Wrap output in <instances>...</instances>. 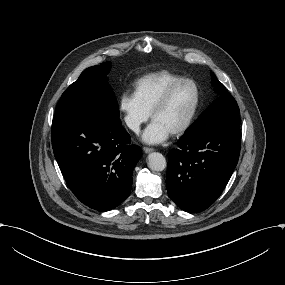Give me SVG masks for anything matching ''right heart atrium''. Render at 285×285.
Listing matches in <instances>:
<instances>
[{"mask_svg":"<svg viewBox=\"0 0 285 285\" xmlns=\"http://www.w3.org/2000/svg\"><path fill=\"white\" fill-rule=\"evenodd\" d=\"M119 110L127 126L134 131H138L151 115L138 98L134 88H129L120 96Z\"/></svg>","mask_w":285,"mask_h":285,"instance_id":"obj_1","label":"right heart atrium"}]
</instances>
